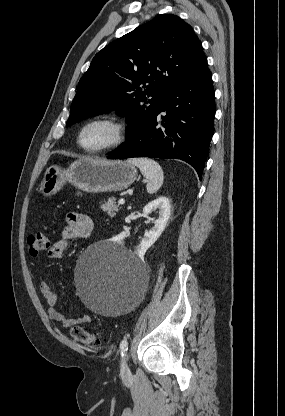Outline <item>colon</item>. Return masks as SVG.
<instances>
[{"mask_svg": "<svg viewBox=\"0 0 285 416\" xmlns=\"http://www.w3.org/2000/svg\"><path fill=\"white\" fill-rule=\"evenodd\" d=\"M28 245L30 254L37 256L48 249L51 243L47 235L42 232H37L29 235ZM70 333L74 340L87 347H98L102 343L100 334L89 333L78 325L71 327Z\"/></svg>", "mask_w": 285, "mask_h": 416, "instance_id": "5ec220e1", "label": "colon"}]
</instances>
